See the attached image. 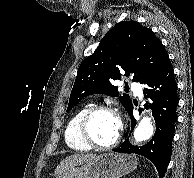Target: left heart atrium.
Segmentation results:
<instances>
[{
  "label": "left heart atrium",
  "mask_w": 194,
  "mask_h": 178,
  "mask_svg": "<svg viewBox=\"0 0 194 178\" xmlns=\"http://www.w3.org/2000/svg\"><path fill=\"white\" fill-rule=\"evenodd\" d=\"M120 126H121V125H120V122H119V129H120Z\"/></svg>",
  "instance_id": "obj_1"
}]
</instances>
